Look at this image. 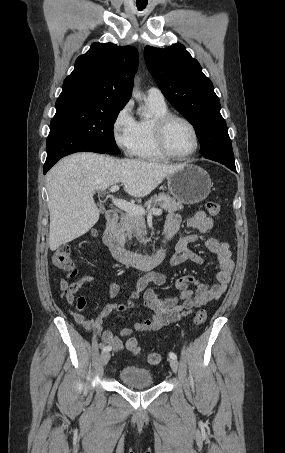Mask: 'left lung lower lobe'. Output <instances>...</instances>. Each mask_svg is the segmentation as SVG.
Listing matches in <instances>:
<instances>
[{"label":"left lung lower lobe","mask_w":285,"mask_h":453,"mask_svg":"<svg viewBox=\"0 0 285 453\" xmlns=\"http://www.w3.org/2000/svg\"><path fill=\"white\" fill-rule=\"evenodd\" d=\"M202 158H207L219 162L228 167L229 169H231L232 171L236 172L234 157H231L227 154L216 152L203 156Z\"/></svg>","instance_id":"left-lung-lower-lobe-1"}]
</instances>
